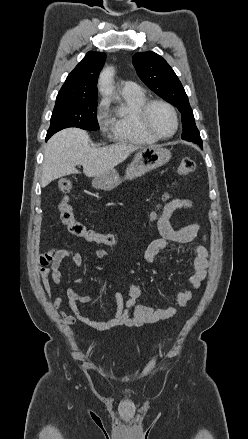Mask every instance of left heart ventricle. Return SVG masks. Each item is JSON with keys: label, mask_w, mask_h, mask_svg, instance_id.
<instances>
[{"label": "left heart ventricle", "mask_w": 248, "mask_h": 439, "mask_svg": "<svg viewBox=\"0 0 248 439\" xmlns=\"http://www.w3.org/2000/svg\"><path fill=\"white\" fill-rule=\"evenodd\" d=\"M152 128L161 135H168L174 129V119L171 112L163 105H154L149 112Z\"/></svg>", "instance_id": "obj_1"}]
</instances>
